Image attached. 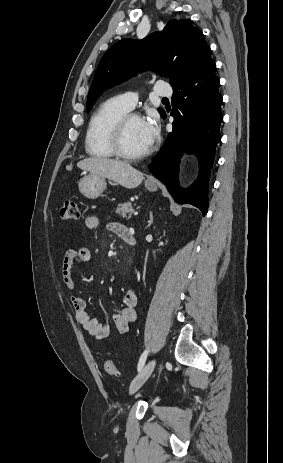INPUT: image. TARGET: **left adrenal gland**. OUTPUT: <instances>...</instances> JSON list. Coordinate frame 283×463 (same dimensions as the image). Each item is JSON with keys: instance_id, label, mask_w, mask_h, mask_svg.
<instances>
[{"instance_id": "1", "label": "left adrenal gland", "mask_w": 283, "mask_h": 463, "mask_svg": "<svg viewBox=\"0 0 283 463\" xmlns=\"http://www.w3.org/2000/svg\"><path fill=\"white\" fill-rule=\"evenodd\" d=\"M152 223H153V214L152 212H150V220L148 221L147 227L151 226Z\"/></svg>"}]
</instances>
